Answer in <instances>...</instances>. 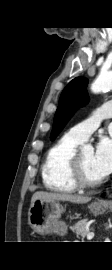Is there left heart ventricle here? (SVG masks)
Segmentation results:
<instances>
[{
  "label": "left heart ventricle",
  "instance_id": "obj_1",
  "mask_svg": "<svg viewBox=\"0 0 112 270\" xmlns=\"http://www.w3.org/2000/svg\"><path fill=\"white\" fill-rule=\"evenodd\" d=\"M93 155L92 152H81L79 154L82 174L87 181H97L101 179L94 169Z\"/></svg>",
  "mask_w": 112,
  "mask_h": 270
}]
</instances>
